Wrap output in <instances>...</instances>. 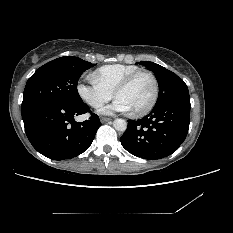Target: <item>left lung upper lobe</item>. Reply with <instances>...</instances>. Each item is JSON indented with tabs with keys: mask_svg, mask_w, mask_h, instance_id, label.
Wrapping results in <instances>:
<instances>
[{
	"mask_svg": "<svg viewBox=\"0 0 233 233\" xmlns=\"http://www.w3.org/2000/svg\"><path fill=\"white\" fill-rule=\"evenodd\" d=\"M138 63L150 69L158 79L160 91L155 107L179 98L189 97L187 85L175 73L153 62Z\"/></svg>",
	"mask_w": 233,
	"mask_h": 233,
	"instance_id": "5c2ea615",
	"label": "left lung upper lobe"
}]
</instances>
